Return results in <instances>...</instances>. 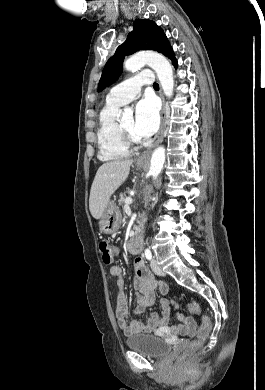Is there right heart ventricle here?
I'll use <instances>...</instances> for the list:
<instances>
[{"label":"right heart ventricle","instance_id":"right-heart-ventricle-1","mask_svg":"<svg viewBox=\"0 0 265 390\" xmlns=\"http://www.w3.org/2000/svg\"><path fill=\"white\" fill-rule=\"evenodd\" d=\"M120 106L106 102L99 114L98 157L103 161H117L130 155V149L122 139L117 121Z\"/></svg>","mask_w":265,"mask_h":390}]
</instances>
